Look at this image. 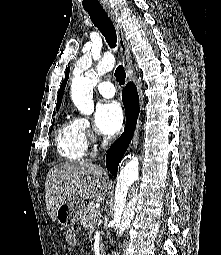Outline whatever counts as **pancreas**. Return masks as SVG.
<instances>
[{"label":"pancreas","mask_w":221,"mask_h":255,"mask_svg":"<svg viewBox=\"0 0 221 255\" xmlns=\"http://www.w3.org/2000/svg\"><path fill=\"white\" fill-rule=\"evenodd\" d=\"M99 214L100 213L95 208L94 202H90L84 209L80 224L88 230L93 231L97 223Z\"/></svg>","instance_id":"pancreas-1"}]
</instances>
